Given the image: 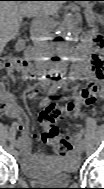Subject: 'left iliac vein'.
Wrapping results in <instances>:
<instances>
[{"instance_id":"4c4485c4","label":"left iliac vein","mask_w":104,"mask_h":189,"mask_svg":"<svg viewBox=\"0 0 104 189\" xmlns=\"http://www.w3.org/2000/svg\"><path fill=\"white\" fill-rule=\"evenodd\" d=\"M84 150H85V146L81 143L79 146V151L84 152Z\"/></svg>"}]
</instances>
